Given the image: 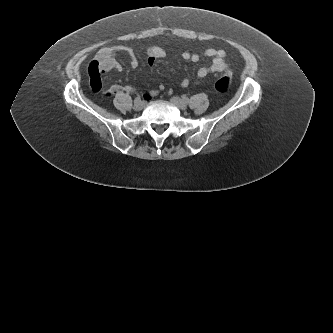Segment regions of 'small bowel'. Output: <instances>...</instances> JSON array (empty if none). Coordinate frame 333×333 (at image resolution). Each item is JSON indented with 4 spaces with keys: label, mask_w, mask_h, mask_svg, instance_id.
I'll list each match as a JSON object with an SVG mask.
<instances>
[{
    "label": "small bowel",
    "mask_w": 333,
    "mask_h": 333,
    "mask_svg": "<svg viewBox=\"0 0 333 333\" xmlns=\"http://www.w3.org/2000/svg\"><path fill=\"white\" fill-rule=\"evenodd\" d=\"M122 51L129 55L130 65L132 68L135 69L140 65L138 56L127 46L109 45L102 47L88 65L90 87L93 92H99L102 88L101 73H106L111 70H120L122 68L121 64L116 60L117 53ZM165 55L166 53L162 48L156 46L151 47L147 50V64L152 66L156 60L164 58ZM203 55L210 58L212 61L209 66H203L197 70L196 80L194 81L195 83L200 82L210 73L222 72L228 69V64L226 63V53L224 50L209 48L204 51ZM181 57L184 60L191 61L193 63L198 62L200 59L199 54L190 53L188 51L182 52ZM180 84L185 88L191 84V80L187 77L183 78ZM163 88L164 87L162 85H159L155 90L146 91L143 94L148 97L155 96L161 92ZM120 91L134 93L136 92V89L129 85L122 86L119 84H113L108 88L106 95L112 96Z\"/></svg>",
    "instance_id": "c3829d8e"
}]
</instances>
